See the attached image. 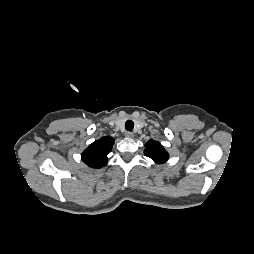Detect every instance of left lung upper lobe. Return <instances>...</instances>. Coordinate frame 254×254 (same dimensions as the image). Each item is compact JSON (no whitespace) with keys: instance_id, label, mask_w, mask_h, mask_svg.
Segmentation results:
<instances>
[{"instance_id":"1","label":"left lung upper lobe","mask_w":254,"mask_h":254,"mask_svg":"<svg viewBox=\"0 0 254 254\" xmlns=\"http://www.w3.org/2000/svg\"><path fill=\"white\" fill-rule=\"evenodd\" d=\"M145 147L144 154L156 163H164L167 161L169 155L159 142L150 140L146 143Z\"/></svg>"}]
</instances>
